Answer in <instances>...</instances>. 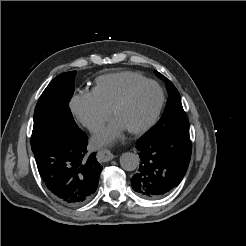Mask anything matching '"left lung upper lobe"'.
I'll list each match as a JSON object with an SVG mask.
<instances>
[{
  "instance_id": "obj_1",
  "label": "left lung upper lobe",
  "mask_w": 246,
  "mask_h": 246,
  "mask_svg": "<svg viewBox=\"0 0 246 246\" xmlns=\"http://www.w3.org/2000/svg\"><path fill=\"white\" fill-rule=\"evenodd\" d=\"M155 74L165 81L169 96L160 120L146 134L152 136L167 131H189V121L183 110L178 90L165 76L157 71Z\"/></svg>"
}]
</instances>
